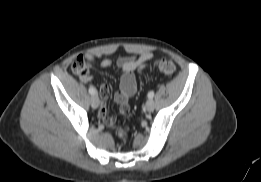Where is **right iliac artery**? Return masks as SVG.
I'll use <instances>...</instances> for the list:
<instances>
[{
  "mask_svg": "<svg viewBox=\"0 0 261 182\" xmlns=\"http://www.w3.org/2000/svg\"><path fill=\"white\" fill-rule=\"evenodd\" d=\"M89 93H90L91 95H95V94H97V91H96V89H95L94 87H90V88H89Z\"/></svg>",
  "mask_w": 261,
  "mask_h": 182,
  "instance_id": "82829eb1",
  "label": "right iliac artery"
}]
</instances>
